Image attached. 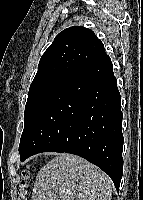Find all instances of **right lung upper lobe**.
<instances>
[{
    "instance_id": "right-lung-upper-lobe-1",
    "label": "right lung upper lobe",
    "mask_w": 143,
    "mask_h": 200,
    "mask_svg": "<svg viewBox=\"0 0 143 200\" xmlns=\"http://www.w3.org/2000/svg\"><path fill=\"white\" fill-rule=\"evenodd\" d=\"M106 56L103 43L92 30L80 26L67 28L42 55L33 81L52 75L69 76Z\"/></svg>"
}]
</instances>
